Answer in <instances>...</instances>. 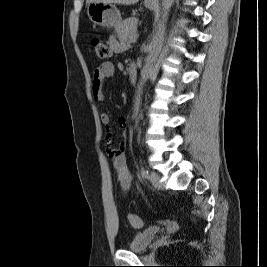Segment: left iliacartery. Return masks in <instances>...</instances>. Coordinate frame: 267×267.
<instances>
[{
	"label": "left iliac artery",
	"instance_id": "44dca946",
	"mask_svg": "<svg viewBox=\"0 0 267 267\" xmlns=\"http://www.w3.org/2000/svg\"><path fill=\"white\" fill-rule=\"evenodd\" d=\"M149 172L146 168L142 167L141 168V176L142 178H148Z\"/></svg>",
	"mask_w": 267,
	"mask_h": 267
}]
</instances>
